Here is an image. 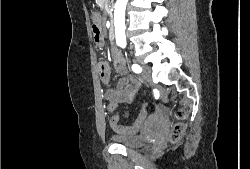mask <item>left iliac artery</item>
I'll list each match as a JSON object with an SVG mask.
<instances>
[{
  "mask_svg": "<svg viewBox=\"0 0 250 169\" xmlns=\"http://www.w3.org/2000/svg\"><path fill=\"white\" fill-rule=\"evenodd\" d=\"M132 70H133L135 73H141V72H142V68H141L138 64H133V65H132Z\"/></svg>",
  "mask_w": 250,
  "mask_h": 169,
  "instance_id": "1",
  "label": "left iliac artery"
}]
</instances>
